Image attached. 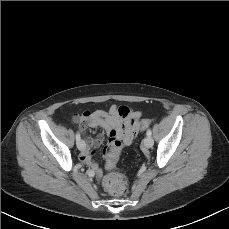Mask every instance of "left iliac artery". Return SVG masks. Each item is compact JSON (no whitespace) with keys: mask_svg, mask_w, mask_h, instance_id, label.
I'll list each match as a JSON object with an SVG mask.
<instances>
[{"mask_svg":"<svg viewBox=\"0 0 229 229\" xmlns=\"http://www.w3.org/2000/svg\"><path fill=\"white\" fill-rule=\"evenodd\" d=\"M146 134H147V136H151V134H152L151 129H148L147 132H146Z\"/></svg>","mask_w":229,"mask_h":229,"instance_id":"left-iliac-artery-1","label":"left iliac artery"}]
</instances>
